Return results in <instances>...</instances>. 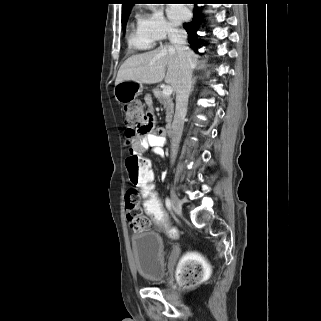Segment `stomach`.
Here are the masks:
<instances>
[{
	"label": "stomach",
	"mask_w": 321,
	"mask_h": 321,
	"mask_svg": "<svg viewBox=\"0 0 321 321\" xmlns=\"http://www.w3.org/2000/svg\"><path fill=\"white\" fill-rule=\"evenodd\" d=\"M143 85L134 81H122L115 85V99L122 104L128 103L138 95L142 94Z\"/></svg>",
	"instance_id": "obj_1"
}]
</instances>
